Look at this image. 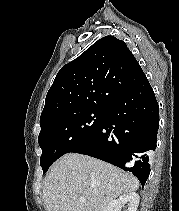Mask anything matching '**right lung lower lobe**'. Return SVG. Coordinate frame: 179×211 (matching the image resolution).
Masks as SVG:
<instances>
[{"label":"right lung lower lobe","mask_w":179,"mask_h":211,"mask_svg":"<svg viewBox=\"0 0 179 211\" xmlns=\"http://www.w3.org/2000/svg\"><path fill=\"white\" fill-rule=\"evenodd\" d=\"M159 106L144 77L113 101L97 132L73 153L89 155L135 175L142 186L150 174L149 158L156 149Z\"/></svg>","instance_id":"1"}]
</instances>
